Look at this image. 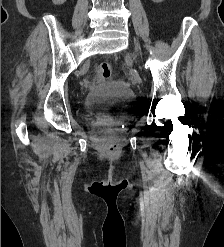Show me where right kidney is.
Listing matches in <instances>:
<instances>
[{
	"mask_svg": "<svg viewBox=\"0 0 224 247\" xmlns=\"http://www.w3.org/2000/svg\"><path fill=\"white\" fill-rule=\"evenodd\" d=\"M52 2L55 4V6H61V4H64L66 0H52Z\"/></svg>",
	"mask_w": 224,
	"mask_h": 247,
	"instance_id": "right-kidney-1",
	"label": "right kidney"
}]
</instances>
